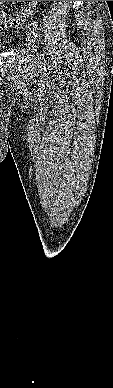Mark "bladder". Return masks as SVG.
Instances as JSON below:
<instances>
[{"instance_id":"1","label":"bladder","mask_w":113,"mask_h":388,"mask_svg":"<svg viewBox=\"0 0 113 388\" xmlns=\"http://www.w3.org/2000/svg\"><path fill=\"white\" fill-rule=\"evenodd\" d=\"M4 48L3 44L0 43V51H2Z\"/></svg>"}]
</instances>
